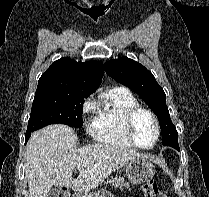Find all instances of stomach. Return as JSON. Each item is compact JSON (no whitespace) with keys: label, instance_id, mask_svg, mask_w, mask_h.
<instances>
[{"label":"stomach","instance_id":"stomach-1","mask_svg":"<svg viewBox=\"0 0 209 197\" xmlns=\"http://www.w3.org/2000/svg\"><path fill=\"white\" fill-rule=\"evenodd\" d=\"M128 179L134 184L149 182L155 175L153 164L144 156L130 160L126 165ZM78 197H114L109 191L100 190L97 192L79 194Z\"/></svg>","mask_w":209,"mask_h":197}]
</instances>
